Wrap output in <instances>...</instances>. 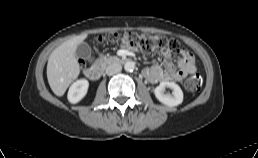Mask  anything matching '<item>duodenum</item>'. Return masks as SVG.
Here are the masks:
<instances>
[{"mask_svg":"<svg viewBox=\"0 0 258 158\" xmlns=\"http://www.w3.org/2000/svg\"><path fill=\"white\" fill-rule=\"evenodd\" d=\"M129 61L130 60L125 57H114L108 60V62L111 64L127 63ZM103 69L104 66L102 64H97L92 67H89L86 70V76L91 80H96L102 75Z\"/></svg>","mask_w":258,"mask_h":158,"instance_id":"410a0bca","label":"duodenum"}]
</instances>
